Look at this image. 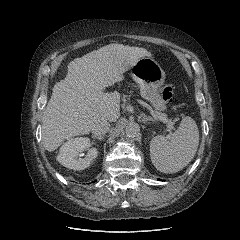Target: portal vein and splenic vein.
Returning <instances> with one entry per match:
<instances>
[{
    "instance_id": "obj_1",
    "label": "portal vein and splenic vein",
    "mask_w": 240,
    "mask_h": 240,
    "mask_svg": "<svg viewBox=\"0 0 240 240\" xmlns=\"http://www.w3.org/2000/svg\"><path fill=\"white\" fill-rule=\"evenodd\" d=\"M160 120L163 121V122H166V118H161ZM167 124H168V128H169V130H171V129H172V125H171V123L168 122Z\"/></svg>"
}]
</instances>
